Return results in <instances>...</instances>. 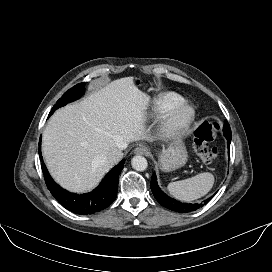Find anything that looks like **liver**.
Masks as SVG:
<instances>
[{
    "mask_svg": "<svg viewBox=\"0 0 272 272\" xmlns=\"http://www.w3.org/2000/svg\"><path fill=\"white\" fill-rule=\"evenodd\" d=\"M150 97L133 77L115 80L84 100L56 111L43 132L42 150L52 177L64 188H94L112 164L103 161L112 148L124 149L145 133Z\"/></svg>",
    "mask_w": 272,
    "mask_h": 272,
    "instance_id": "liver-1",
    "label": "liver"
}]
</instances>
